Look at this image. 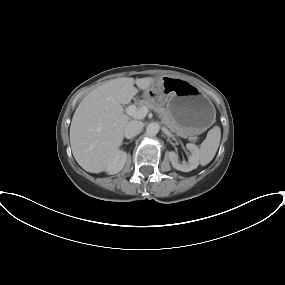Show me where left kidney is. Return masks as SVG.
<instances>
[{"label": "left kidney", "mask_w": 285, "mask_h": 285, "mask_svg": "<svg viewBox=\"0 0 285 285\" xmlns=\"http://www.w3.org/2000/svg\"><path fill=\"white\" fill-rule=\"evenodd\" d=\"M186 148L191 152V156L189 157L188 163L180 164L178 162V155L171 151L169 152V159L171 161L172 166L180 171L189 172L196 169L199 165L200 154L199 149L195 144L188 143L186 144Z\"/></svg>", "instance_id": "obj_1"}]
</instances>
